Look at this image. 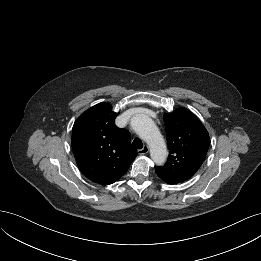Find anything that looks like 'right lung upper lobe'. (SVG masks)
Listing matches in <instances>:
<instances>
[{
  "label": "right lung upper lobe",
  "mask_w": 261,
  "mask_h": 261,
  "mask_svg": "<svg viewBox=\"0 0 261 261\" xmlns=\"http://www.w3.org/2000/svg\"><path fill=\"white\" fill-rule=\"evenodd\" d=\"M118 113L108 103L86 110L72 128V148L80 171L98 184H112L128 170L137 155L130 134L115 126Z\"/></svg>",
  "instance_id": "1"
}]
</instances>
